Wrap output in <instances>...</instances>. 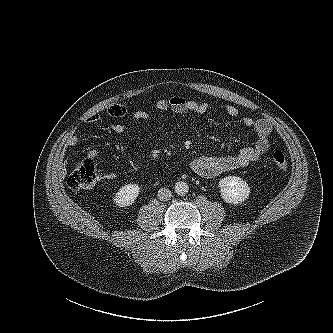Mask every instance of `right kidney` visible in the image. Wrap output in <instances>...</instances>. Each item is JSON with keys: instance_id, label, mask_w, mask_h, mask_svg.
<instances>
[{"instance_id": "right-kidney-1", "label": "right kidney", "mask_w": 333, "mask_h": 333, "mask_svg": "<svg viewBox=\"0 0 333 333\" xmlns=\"http://www.w3.org/2000/svg\"><path fill=\"white\" fill-rule=\"evenodd\" d=\"M139 193L140 187L137 184H128L118 190L113 200L118 207H128L135 202Z\"/></svg>"}]
</instances>
